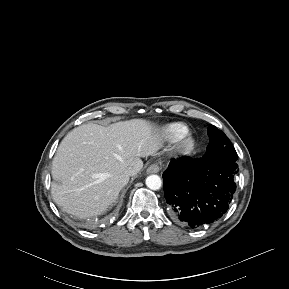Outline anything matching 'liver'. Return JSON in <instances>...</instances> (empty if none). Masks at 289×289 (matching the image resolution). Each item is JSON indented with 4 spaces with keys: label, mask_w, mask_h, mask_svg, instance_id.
I'll list each match as a JSON object with an SVG mask.
<instances>
[{
    "label": "liver",
    "mask_w": 289,
    "mask_h": 289,
    "mask_svg": "<svg viewBox=\"0 0 289 289\" xmlns=\"http://www.w3.org/2000/svg\"><path fill=\"white\" fill-rule=\"evenodd\" d=\"M160 147V134L144 119L74 128L52 161L54 202L80 218L101 214L128 183L124 171L131 167L136 175L143 168L141 158L155 155Z\"/></svg>",
    "instance_id": "liver-1"
}]
</instances>
